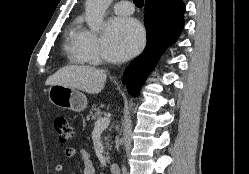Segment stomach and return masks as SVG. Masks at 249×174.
<instances>
[{
	"label": "stomach",
	"mask_w": 249,
	"mask_h": 174,
	"mask_svg": "<svg viewBox=\"0 0 249 174\" xmlns=\"http://www.w3.org/2000/svg\"><path fill=\"white\" fill-rule=\"evenodd\" d=\"M48 97L55 106L75 112L83 111L87 106V98L82 92L63 85H51Z\"/></svg>",
	"instance_id": "0dacf381"
}]
</instances>
